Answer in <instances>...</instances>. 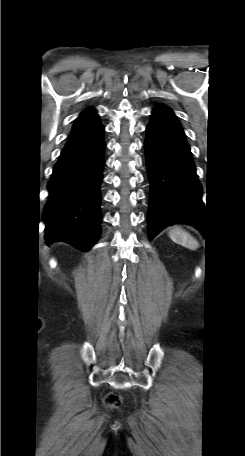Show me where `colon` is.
I'll list each match as a JSON object with an SVG mask.
<instances>
[{
    "label": "colon",
    "mask_w": 245,
    "mask_h": 456,
    "mask_svg": "<svg viewBox=\"0 0 245 456\" xmlns=\"http://www.w3.org/2000/svg\"><path fill=\"white\" fill-rule=\"evenodd\" d=\"M104 403L108 408H116L121 403V396L118 392L112 391L106 395Z\"/></svg>",
    "instance_id": "colon-1"
}]
</instances>
